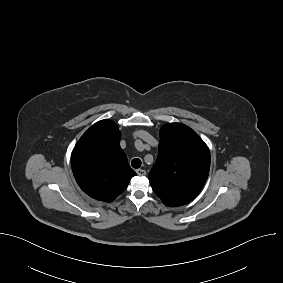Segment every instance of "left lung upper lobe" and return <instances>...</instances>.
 <instances>
[{
  "mask_svg": "<svg viewBox=\"0 0 283 283\" xmlns=\"http://www.w3.org/2000/svg\"><path fill=\"white\" fill-rule=\"evenodd\" d=\"M209 169V148L194 130L181 123L161 128L158 158L149 182L166 206L192 201L203 188Z\"/></svg>",
  "mask_w": 283,
  "mask_h": 283,
  "instance_id": "obj_1",
  "label": "left lung upper lobe"
}]
</instances>
